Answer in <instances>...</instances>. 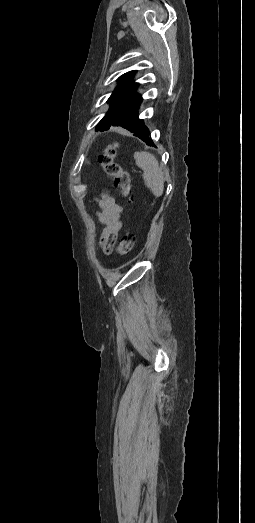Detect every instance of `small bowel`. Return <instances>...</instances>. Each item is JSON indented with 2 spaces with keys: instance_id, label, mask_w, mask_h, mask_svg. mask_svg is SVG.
<instances>
[{
  "instance_id": "1",
  "label": "small bowel",
  "mask_w": 255,
  "mask_h": 523,
  "mask_svg": "<svg viewBox=\"0 0 255 523\" xmlns=\"http://www.w3.org/2000/svg\"><path fill=\"white\" fill-rule=\"evenodd\" d=\"M98 210L96 215L98 221L103 225L100 237V245L106 254L113 250L117 236L122 228L120 216L122 207L108 194L101 193L96 199Z\"/></svg>"
}]
</instances>
